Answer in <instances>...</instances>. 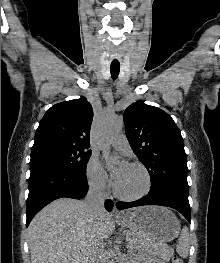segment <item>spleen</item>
Here are the masks:
<instances>
[{
    "mask_svg": "<svg viewBox=\"0 0 220 263\" xmlns=\"http://www.w3.org/2000/svg\"><path fill=\"white\" fill-rule=\"evenodd\" d=\"M177 253L182 257H187L189 252V230L184 227L181 231L178 245L176 246Z\"/></svg>",
    "mask_w": 220,
    "mask_h": 263,
    "instance_id": "spleen-1",
    "label": "spleen"
}]
</instances>
